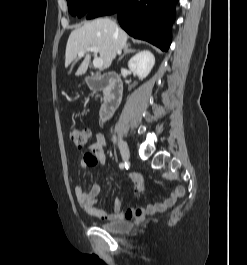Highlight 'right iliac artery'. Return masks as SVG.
Returning a JSON list of instances; mask_svg holds the SVG:
<instances>
[{"mask_svg":"<svg viewBox=\"0 0 247 265\" xmlns=\"http://www.w3.org/2000/svg\"><path fill=\"white\" fill-rule=\"evenodd\" d=\"M124 166H125L124 163H120L119 165L120 168H124Z\"/></svg>","mask_w":247,"mask_h":265,"instance_id":"obj_1","label":"right iliac artery"}]
</instances>
